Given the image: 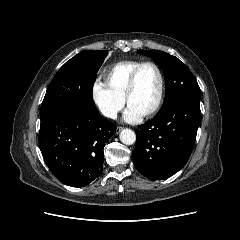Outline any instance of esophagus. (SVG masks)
Segmentation results:
<instances>
[{
	"label": "esophagus",
	"mask_w": 240,
	"mask_h": 240,
	"mask_svg": "<svg viewBox=\"0 0 240 240\" xmlns=\"http://www.w3.org/2000/svg\"><path fill=\"white\" fill-rule=\"evenodd\" d=\"M122 129H123V127H117V128H116V133H117V134L120 133V132L122 131Z\"/></svg>",
	"instance_id": "esophagus-1"
}]
</instances>
